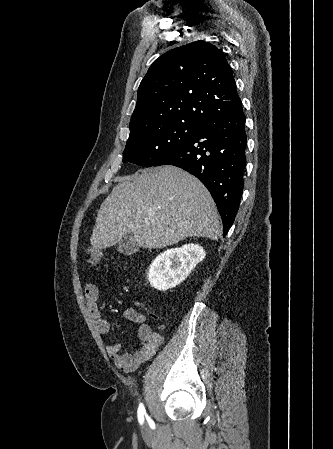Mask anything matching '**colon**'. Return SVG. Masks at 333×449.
Returning <instances> with one entry per match:
<instances>
[{
  "instance_id": "obj_1",
  "label": "colon",
  "mask_w": 333,
  "mask_h": 449,
  "mask_svg": "<svg viewBox=\"0 0 333 449\" xmlns=\"http://www.w3.org/2000/svg\"><path fill=\"white\" fill-rule=\"evenodd\" d=\"M86 255H87V263L89 266L98 265L102 261V258H103L102 251L100 249L94 248V247L88 248Z\"/></svg>"
}]
</instances>
